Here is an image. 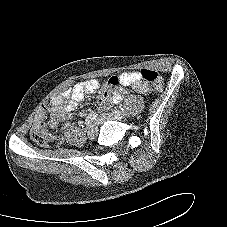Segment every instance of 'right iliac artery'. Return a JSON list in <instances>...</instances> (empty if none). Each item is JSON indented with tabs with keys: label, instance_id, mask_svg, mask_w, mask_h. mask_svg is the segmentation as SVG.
Wrapping results in <instances>:
<instances>
[{
	"label": "right iliac artery",
	"instance_id": "right-iliac-artery-1",
	"mask_svg": "<svg viewBox=\"0 0 227 227\" xmlns=\"http://www.w3.org/2000/svg\"><path fill=\"white\" fill-rule=\"evenodd\" d=\"M97 116H98V114L95 112L90 113L85 119V125L87 127L91 126L92 123L96 120Z\"/></svg>",
	"mask_w": 227,
	"mask_h": 227
}]
</instances>
